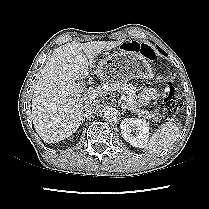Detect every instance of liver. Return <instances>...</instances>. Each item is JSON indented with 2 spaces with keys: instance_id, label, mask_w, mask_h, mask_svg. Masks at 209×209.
Here are the masks:
<instances>
[{
  "instance_id": "liver-1",
  "label": "liver",
  "mask_w": 209,
  "mask_h": 209,
  "mask_svg": "<svg viewBox=\"0 0 209 209\" xmlns=\"http://www.w3.org/2000/svg\"><path fill=\"white\" fill-rule=\"evenodd\" d=\"M123 42H71L55 49L41 70L32 98L33 125L44 142L57 143L77 131L84 115L78 81L88 77L89 67L93 68V74L103 77L102 68L94 70L95 57ZM105 93L101 91V95Z\"/></svg>"
}]
</instances>
